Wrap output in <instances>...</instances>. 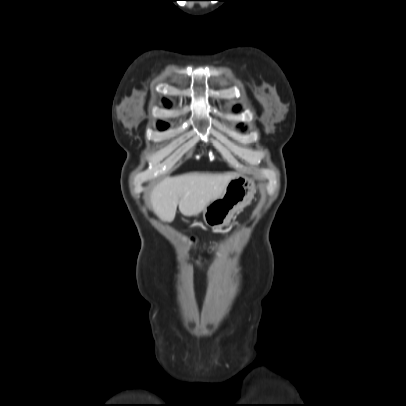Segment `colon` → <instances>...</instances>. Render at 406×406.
Segmentation results:
<instances>
[{
    "instance_id": "1",
    "label": "colon",
    "mask_w": 406,
    "mask_h": 406,
    "mask_svg": "<svg viewBox=\"0 0 406 406\" xmlns=\"http://www.w3.org/2000/svg\"><path fill=\"white\" fill-rule=\"evenodd\" d=\"M190 243L193 244V245H197V244H198V240H197L196 238H191V239H190ZM208 252H209V253H215V250L208 249Z\"/></svg>"
}]
</instances>
